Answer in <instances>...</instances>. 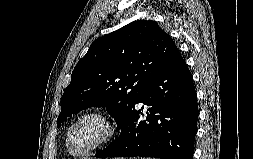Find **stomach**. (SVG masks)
I'll use <instances>...</instances> for the list:
<instances>
[{
  "label": "stomach",
  "instance_id": "1",
  "mask_svg": "<svg viewBox=\"0 0 253 159\" xmlns=\"http://www.w3.org/2000/svg\"><path fill=\"white\" fill-rule=\"evenodd\" d=\"M114 159H124V158H114Z\"/></svg>",
  "mask_w": 253,
  "mask_h": 159
}]
</instances>
